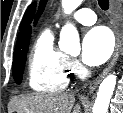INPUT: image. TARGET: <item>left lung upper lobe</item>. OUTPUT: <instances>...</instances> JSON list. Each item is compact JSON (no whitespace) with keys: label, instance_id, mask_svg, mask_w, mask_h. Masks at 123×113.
Segmentation results:
<instances>
[{"label":"left lung upper lobe","instance_id":"1","mask_svg":"<svg viewBox=\"0 0 123 113\" xmlns=\"http://www.w3.org/2000/svg\"><path fill=\"white\" fill-rule=\"evenodd\" d=\"M47 0H41L40 4H39V10L37 12L36 18H35V23L37 22L38 18L40 17V15L42 14L45 5H46Z\"/></svg>","mask_w":123,"mask_h":113}]
</instances>
